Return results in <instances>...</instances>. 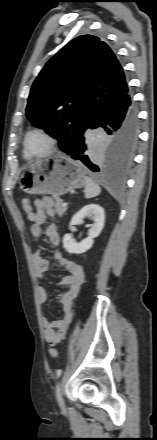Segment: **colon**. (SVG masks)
I'll return each mask as SVG.
<instances>
[{"instance_id": "1", "label": "colon", "mask_w": 157, "mask_h": 440, "mask_svg": "<svg viewBox=\"0 0 157 440\" xmlns=\"http://www.w3.org/2000/svg\"><path fill=\"white\" fill-rule=\"evenodd\" d=\"M22 207H23V210H24L27 214L31 213V211H32V207H31V204H30V202H29L28 199H23V200H22ZM49 354H50L51 357H57V355H58V350H57V348H54V347L50 348V349H49Z\"/></svg>"}]
</instances>
